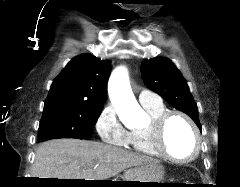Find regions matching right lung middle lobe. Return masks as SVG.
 <instances>
[{"label": "right lung middle lobe", "mask_w": 240, "mask_h": 187, "mask_svg": "<svg viewBox=\"0 0 240 187\" xmlns=\"http://www.w3.org/2000/svg\"><path fill=\"white\" fill-rule=\"evenodd\" d=\"M103 106L60 104L44 107L38 142L57 138L90 139Z\"/></svg>", "instance_id": "obj_1"}]
</instances>
